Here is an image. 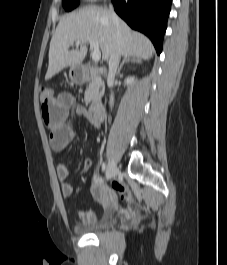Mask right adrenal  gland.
Masks as SVG:
<instances>
[{
    "mask_svg": "<svg viewBox=\"0 0 227 265\" xmlns=\"http://www.w3.org/2000/svg\"><path fill=\"white\" fill-rule=\"evenodd\" d=\"M129 62H132V63H140V58H137V57H132V58L125 57L124 60L122 61L121 65H120V67L118 68L117 73L119 74L120 73V70L123 67V65L125 63H129Z\"/></svg>",
    "mask_w": 227,
    "mask_h": 265,
    "instance_id": "2a0ac1e0",
    "label": "right adrenal gland"
}]
</instances>
